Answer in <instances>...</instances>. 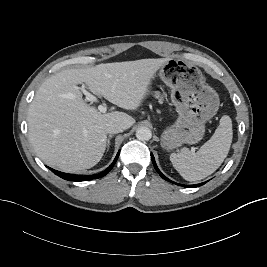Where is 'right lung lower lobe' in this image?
<instances>
[{
	"instance_id": "1",
	"label": "right lung lower lobe",
	"mask_w": 267,
	"mask_h": 267,
	"mask_svg": "<svg viewBox=\"0 0 267 267\" xmlns=\"http://www.w3.org/2000/svg\"><path fill=\"white\" fill-rule=\"evenodd\" d=\"M119 153L116 155L114 161L112 162V164L104 171L98 173V174H94V175H88V176H80V175H74V174H67V173H63L57 170H54L52 168H49L53 173H55L56 175H58L59 177L68 180V181H87V180H91V179H97V178H101L103 176H105L115 165L118 157H119Z\"/></svg>"
}]
</instances>
